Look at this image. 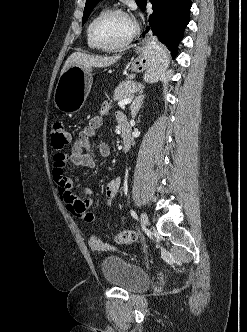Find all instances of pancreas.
I'll list each match as a JSON object with an SVG mask.
<instances>
[{
  "label": "pancreas",
  "mask_w": 247,
  "mask_h": 332,
  "mask_svg": "<svg viewBox=\"0 0 247 332\" xmlns=\"http://www.w3.org/2000/svg\"><path fill=\"white\" fill-rule=\"evenodd\" d=\"M142 86L135 81H123L114 91V100H123L130 98L135 92L140 91Z\"/></svg>",
  "instance_id": "pancreas-1"
}]
</instances>
